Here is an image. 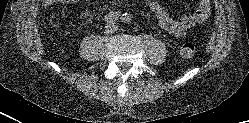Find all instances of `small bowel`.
Returning a JSON list of instances; mask_svg holds the SVG:
<instances>
[{
    "instance_id": "obj_1",
    "label": "small bowel",
    "mask_w": 249,
    "mask_h": 123,
    "mask_svg": "<svg viewBox=\"0 0 249 123\" xmlns=\"http://www.w3.org/2000/svg\"><path fill=\"white\" fill-rule=\"evenodd\" d=\"M76 1L78 0H46L48 3H71ZM144 1L148 3L149 9L156 15L160 26L175 37H182L189 29L203 23L211 11V1L200 0L198 7L194 11L184 13L180 18L176 19L159 2L154 0Z\"/></svg>"
}]
</instances>
